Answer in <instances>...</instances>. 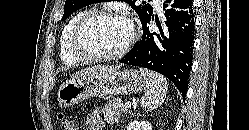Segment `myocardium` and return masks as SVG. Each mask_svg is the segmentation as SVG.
<instances>
[{
    "instance_id": "1",
    "label": "myocardium",
    "mask_w": 249,
    "mask_h": 130,
    "mask_svg": "<svg viewBox=\"0 0 249 130\" xmlns=\"http://www.w3.org/2000/svg\"><path fill=\"white\" fill-rule=\"evenodd\" d=\"M101 16H121L126 18L131 25V35L121 49L111 54H95L86 51L81 45V36L85 26L93 19ZM137 38V29L134 23L121 11L114 9H95L84 14L77 22L70 41L71 52L80 60L93 62H107L122 58L127 54Z\"/></svg>"
}]
</instances>
